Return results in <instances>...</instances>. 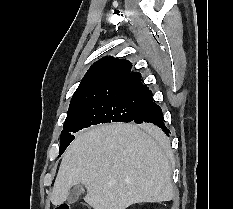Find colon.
<instances>
[{"mask_svg":"<svg viewBox=\"0 0 233 209\" xmlns=\"http://www.w3.org/2000/svg\"><path fill=\"white\" fill-rule=\"evenodd\" d=\"M55 209H71V207L67 203H62V204H59L58 206H56Z\"/></svg>","mask_w":233,"mask_h":209,"instance_id":"obj_1","label":"colon"}]
</instances>
